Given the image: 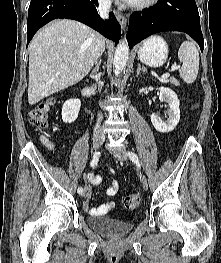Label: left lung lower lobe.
Returning a JSON list of instances; mask_svg holds the SVG:
<instances>
[{
	"label": "left lung lower lobe",
	"instance_id": "1",
	"mask_svg": "<svg viewBox=\"0 0 221 263\" xmlns=\"http://www.w3.org/2000/svg\"><path fill=\"white\" fill-rule=\"evenodd\" d=\"M163 31L185 32L199 44L201 51L204 49L195 0H158L155 6L133 13L127 33L129 47Z\"/></svg>",
	"mask_w": 221,
	"mask_h": 263
}]
</instances>
